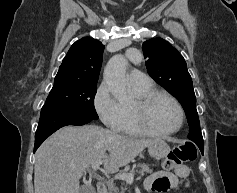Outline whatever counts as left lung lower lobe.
Listing matches in <instances>:
<instances>
[{
  "label": "left lung lower lobe",
  "mask_w": 237,
  "mask_h": 193,
  "mask_svg": "<svg viewBox=\"0 0 237 193\" xmlns=\"http://www.w3.org/2000/svg\"><path fill=\"white\" fill-rule=\"evenodd\" d=\"M200 151H201V153L203 154V152H204V148H200Z\"/></svg>",
  "instance_id": "0a47b994"
}]
</instances>
